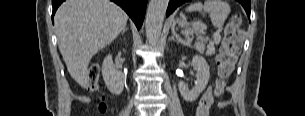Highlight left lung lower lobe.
I'll return each mask as SVG.
<instances>
[{"mask_svg":"<svg viewBox=\"0 0 305 116\" xmlns=\"http://www.w3.org/2000/svg\"><path fill=\"white\" fill-rule=\"evenodd\" d=\"M188 1L189 0H170L166 15L169 16L178 6ZM239 2L243 5L247 15L250 17L251 0H240Z\"/></svg>","mask_w":305,"mask_h":116,"instance_id":"left-lung-lower-lobe-1","label":"left lung lower lobe"}]
</instances>
